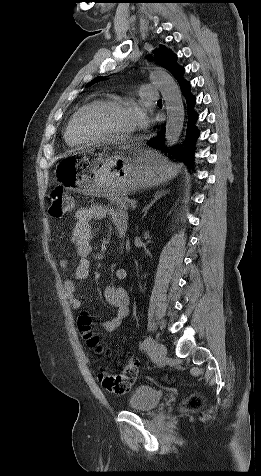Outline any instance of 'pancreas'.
<instances>
[{
	"mask_svg": "<svg viewBox=\"0 0 261 476\" xmlns=\"http://www.w3.org/2000/svg\"><path fill=\"white\" fill-rule=\"evenodd\" d=\"M130 199L126 196L115 197L111 199V203L116 205V207L120 210H128Z\"/></svg>",
	"mask_w": 261,
	"mask_h": 476,
	"instance_id": "obj_1",
	"label": "pancreas"
}]
</instances>
